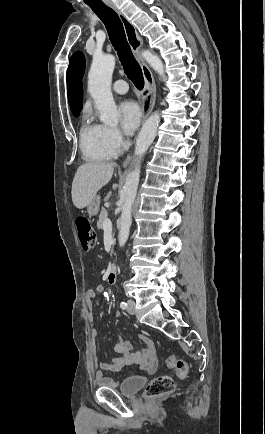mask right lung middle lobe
Here are the masks:
<instances>
[{
	"label": "right lung middle lobe",
	"instance_id": "right-lung-middle-lobe-1",
	"mask_svg": "<svg viewBox=\"0 0 265 434\" xmlns=\"http://www.w3.org/2000/svg\"><path fill=\"white\" fill-rule=\"evenodd\" d=\"M70 108H71L73 115L77 116L79 114L80 110L82 109V104L72 105V106H70Z\"/></svg>",
	"mask_w": 265,
	"mask_h": 434
}]
</instances>
